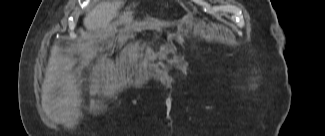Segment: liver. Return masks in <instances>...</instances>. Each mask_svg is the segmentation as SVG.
Returning a JSON list of instances; mask_svg holds the SVG:
<instances>
[{"mask_svg": "<svg viewBox=\"0 0 325 136\" xmlns=\"http://www.w3.org/2000/svg\"><path fill=\"white\" fill-rule=\"evenodd\" d=\"M123 1H101L90 11L83 20L84 26L88 30H103L109 22L116 16L121 8Z\"/></svg>", "mask_w": 325, "mask_h": 136, "instance_id": "liver-1", "label": "liver"}]
</instances>
